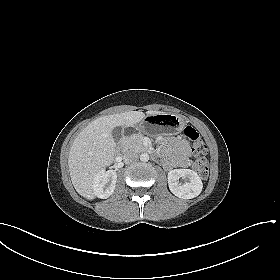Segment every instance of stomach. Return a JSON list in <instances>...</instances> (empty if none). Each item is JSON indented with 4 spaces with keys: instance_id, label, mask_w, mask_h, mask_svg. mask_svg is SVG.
Masks as SVG:
<instances>
[{
    "instance_id": "0dacf381",
    "label": "stomach",
    "mask_w": 280,
    "mask_h": 280,
    "mask_svg": "<svg viewBox=\"0 0 280 280\" xmlns=\"http://www.w3.org/2000/svg\"><path fill=\"white\" fill-rule=\"evenodd\" d=\"M185 126V121L178 115L162 113L157 115H148L134 127L139 132L153 133L156 130H162L169 134L180 133Z\"/></svg>"
}]
</instances>
